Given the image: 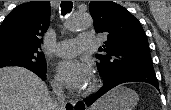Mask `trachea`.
Segmentation results:
<instances>
[{
  "instance_id": "1",
  "label": "trachea",
  "mask_w": 171,
  "mask_h": 110,
  "mask_svg": "<svg viewBox=\"0 0 171 110\" xmlns=\"http://www.w3.org/2000/svg\"><path fill=\"white\" fill-rule=\"evenodd\" d=\"M61 14L65 16L72 11L73 3L72 1H62L61 2Z\"/></svg>"
}]
</instances>
